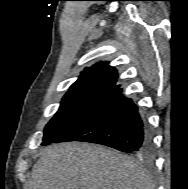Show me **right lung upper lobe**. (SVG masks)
<instances>
[{
    "mask_svg": "<svg viewBox=\"0 0 188 189\" xmlns=\"http://www.w3.org/2000/svg\"><path fill=\"white\" fill-rule=\"evenodd\" d=\"M118 73L107 62H99L92 67H86L78 80L72 84L69 93L105 92L107 94L119 89L116 85Z\"/></svg>",
    "mask_w": 188,
    "mask_h": 189,
    "instance_id": "obj_1",
    "label": "right lung upper lobe"
}]
</instances>
